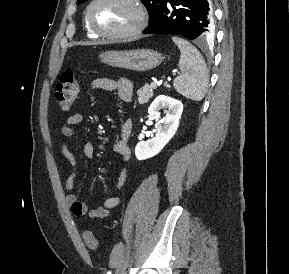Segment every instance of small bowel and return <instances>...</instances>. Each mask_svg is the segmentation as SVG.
I'll return each mask as SVG.
<instances>
[{"instance_id": "small-bowel-1", "label": "small bowel", "mask_w": 289, "mask_h": 274, "mask_svg": "<svg viewBox=\"0 0 289 274\" xmlns=\"http://www.w3.org/2000/svg\"><path fill=\"white\" fill-rule=\"evenodd\" d=\"M92 87L98 90L115 91L120 100L125 103H130L133 98V85L130 80L113 79V78H97L93 80ZM82 115L79 113L69 116L61 127V133L65 138L74 137L76 130L75 126L81 123ZM132 130L131 120H126L121 125L120 135L113 146V150L118 154L123 161L130 160V147L128 139ZM62 155L69 162L72 171L66 179V203L70 206L74 215L78 217L88 215L91 218H105L109 215L110 210L117 207L121 201L120 195H114L106 198L103 204L99 207L89 209L84 201L78 199L77 195L73 192L77 160L74 153L71 151L70 145L64 142L61 146ZM82 153L86 158H93L95 154L94 145L90 142H85L82 145ZM127 178V169L123 168L118 176L115 189L120 191L125 184Z\"/></svg>"}]
</instances>
